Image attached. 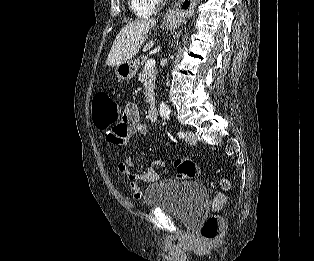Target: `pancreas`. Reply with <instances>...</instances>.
<instances>
[{
  "instance_id": "pancreas-1",
  "label": "pancreas",
  "mask_w": 314,
  "mask_h": 261,
  "mask_svg": "<svg viewBox=\"0 0 314 261\" xmlns=\"http://www.w3.org/2000/svg\"><path fill=\"white\" fill-rule=\"evenodd\" d=\"M138 80L144 86V95L146 97V102L151 104L154 103V89L156 81V72L155 70L147 69L143 67L142 71L138 75Z\"/></svg>"
}]
</instances>
